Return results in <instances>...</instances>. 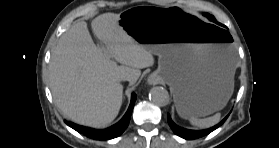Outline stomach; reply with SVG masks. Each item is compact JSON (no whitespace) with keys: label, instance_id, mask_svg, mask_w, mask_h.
I'll use <instances>...</instances> for the list:
<instances>
[{"label":"stomach","instance_id":"0dacf381","mask_svg":"<svg viewBox=\"0 0 279 148\" xmlns=\"http://www.w3.org/2000/svg\"><path fill=\"white\" fill-rule=\"evenodd\" d=\"M138 44L159 56L157 76L170 86L178 114L207 116L227 104L234 89L230 39L178 6L131 5L119 20Z\"/></svg>","mask_w":279,"mask_h":148}]
</instances>
